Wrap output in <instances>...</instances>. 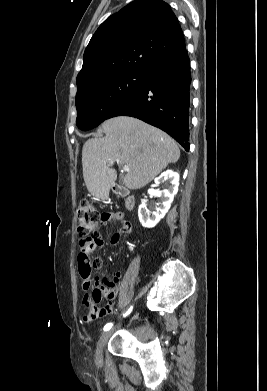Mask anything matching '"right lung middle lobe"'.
<instances>
[{"mask_svg": "<svg viewBox=\"0 0 267 391\" xmlns=\"http://www.w3.org/2000/svg\"><path fill=\"white\" fill-rule=\"evenodd\" d=\"M144 78V72L123 71L88 81L76 95L77 126L81 130L98 126L141 88Z\"/></svg>", "mask_w": 267, "mask_h": 391, "instance_id": "dd1d6c3e", "label": "right lung middle lobe"}]
</instances>
